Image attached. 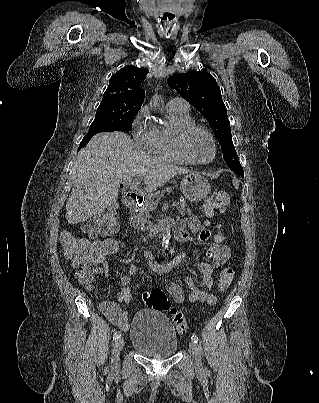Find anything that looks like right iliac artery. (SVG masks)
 Returning <instances> with one entry per match:
<instances>
[{
	"mask_svg": "<svg viewBox=\"0 0 319 403\" xmlns=\"http://www.w3.org/2000/svg\"><path fill=\"white\" fill-rule=\"evenodd\" d=\"M121 337V332L120 331H116L115 333H114V335H113V341L114 340H117L118 338H120Z\"/></svg>",
	"mask_w": 319,
	"mask_h": 403,
	"instance_id": "82829eb1",
	"label": "right iliac artery"
}]
</instances>
